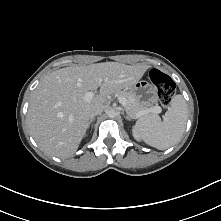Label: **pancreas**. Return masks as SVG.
Listing matches in <instances>:
<instances>
[{
    "label": "pancreas",
    "instance_id": "obj_1",
    "mask_svg": "<svg viewBox=\"0 0 221 221\" xmlns=\"http://www.w3.org/2000/svg\"><path fill=\"white\" fill-rule=\"evenodd\" d=\"M114 93L116 96L124 97L127 100V105L125 106V110L127 114L133 119L140 117L139 113L141 111L152 108V107H144L143 105H141L139 100L131 92L116 90Z\"/></svg>",
    "mask_w": 221,
    "mask_h": 221
}]
</instances>
